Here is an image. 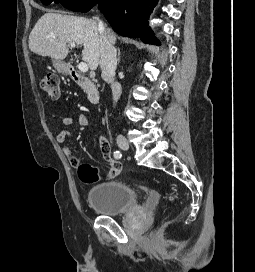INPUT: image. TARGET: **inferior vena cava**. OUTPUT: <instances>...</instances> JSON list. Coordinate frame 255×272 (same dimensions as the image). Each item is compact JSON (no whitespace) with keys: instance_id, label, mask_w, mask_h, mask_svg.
<instances>
[{"instance_id":"1","label":"inferior vena cava","mask_w":255,"mask_h":272,"mask_svg":"<svg viewBox=\"0 0 255 272\" xmlns=\"http://www.w3.org/2000/svg\"><path fill=\"white\" fill-rule=\"evenodd\" d=\"M98 30L100 33V68L102 70V78L111 85L113 101L116 103L121 96L122 87L120 83L115 81V71L117 67L116 49L110 43L106 28L102 21L98 22Z\"/></svg>"}]
</instances>
